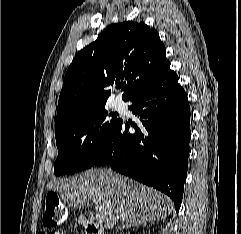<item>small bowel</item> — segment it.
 <instances>
[{
	"mask_svg": "<svg viewBox=\"0 0 241 234\" xmlns=\"http://www.w3.org/2000/svg\"><path fill=\"white\" fill-rule=\"evenodd\" d=\"M44 234H66V233H64V232H46V233H44Z\"/></svg>",
	"mask_w": 241,
	"mask_h": 234,
	"instance_id": "small-bowel-1",
	"label": "small bowel"
}]
</instances>
